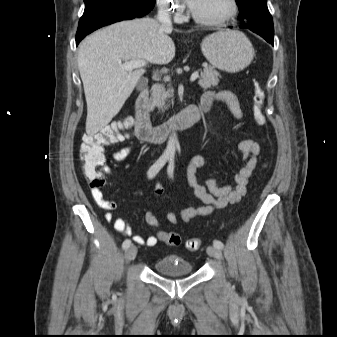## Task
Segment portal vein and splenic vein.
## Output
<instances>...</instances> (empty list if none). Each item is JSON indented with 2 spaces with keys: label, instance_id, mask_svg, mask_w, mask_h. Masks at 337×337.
<instances>
[{
  "label": "portal vein and splenic vein",
  "instance_id": "18ae733b",
  "mask_svg": "<svg viewBox=\"0 0 337 337\" xmlns=\"http://www.w3.org/2000/svg\"><path fill=\"white\" fill-rule=\"evenodd\" d=\"M146 62L144 60H132V61H127L124 62L121 67L126 69V70H133L136 68H141L146 66ZM199 77V73L198 71L194 72L191 77H190V81L193 82L195 81L197 78Z\"/></svg>",
  "mask_w": 337,
  "mask_h": 337
}]
</instances>
